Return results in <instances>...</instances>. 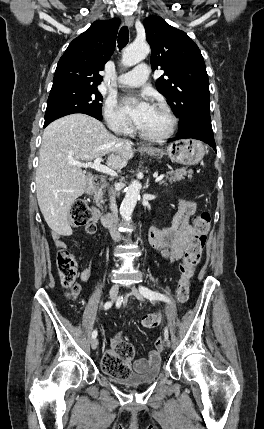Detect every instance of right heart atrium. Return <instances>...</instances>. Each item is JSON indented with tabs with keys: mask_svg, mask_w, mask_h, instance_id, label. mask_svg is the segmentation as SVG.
I'll return each instance as SVG.
<instances>
[{
	"mask_svg": "<svg viewBox=\"0 0 264 429\" xmlns=\"http://www.w3.org/2000/svg\"><path fill=\"white\" fill-rule=\"evenodd\" d=\"M103 114L108 127L115 133L126 134L131 126L128 119L120 112L113 100H107Z\"/></svg>",
	"mask_w": 264,
	"mask_h": 429,
	"instance_id": "obj_1",
	"label": "right heart atrium"
}]
</instances>
